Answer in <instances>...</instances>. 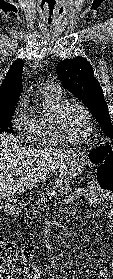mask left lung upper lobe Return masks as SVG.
Returning <instances> with one entry per match:
<instances>
[{
	"instance_id": "5c2ea615",
	"label": "left lung upper lobe",
	"mask_w": 113,
	"mask_h": 279,
	"mask_svg": "<svg viewBox=\"0 0 113 279\" xmlns=\"http://www.w3.org/2000/svg\"><path fill=\"white\" fill-rule=\"evenodd\" d=\"M56 72L64 86L91 111L106 136L113 138V125L108 107L91 64L79 56L59 62Z\"/></svg>"
}]
</instances>
